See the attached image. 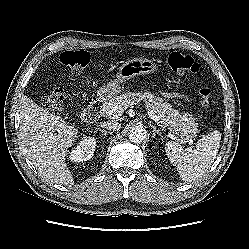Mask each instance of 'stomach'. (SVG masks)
Wrapping results in <instances>:
<instances>
[{
    "instance_id": "0dacf381",
    "label": "stomach",
    "mask_w": 249,
    "mask_h": 249,
    "mask_svg": "<svg viewBox=\"0 0 249 249\" xmlns=\"http://www.w3.org/2000/svg\"><path fill=\"white\" fill-rule=\"evenodd\" d=\"M158 70V65L151 59L134 58L122 62L118 67L115 79L107 82L98 90V96L109 99L122 90V86L128 80L141 75L154 73Z\"/></svg>"
}]
</instances>
